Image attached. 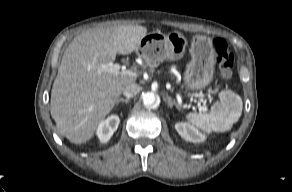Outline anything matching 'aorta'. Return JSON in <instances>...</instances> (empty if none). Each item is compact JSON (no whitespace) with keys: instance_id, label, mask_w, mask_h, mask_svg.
<instances>
[{"instance_id":"obj_1","label":"aorta","mask_w":292,"mask_h":192,"mask_svg":"<svg viewBox=\"0 0 292 192\" xmlns=\"http://www.w3.org/2000/svg\"><path fill=\"white\" fill-rule=\"evenodd\" d=\"M143 104L147 108H156L160 103V98L154 92H146L142 96Z\"/></svg>"}]
</instances>
